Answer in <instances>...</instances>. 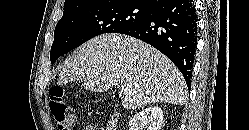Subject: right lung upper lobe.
<instances>
[{"mask_svg":"<svg viewBox=\"0 0 249 130\" xmlns=\"http://www.w3.org/2000/svg\"><path fill=\"white\" fill-rule=\"evenodd\" d=\"M108 0H65L64 12L79 9L88 5L105 2ZM139 3L148 4L151 8L155 7L162 0H134Z\"/></svg>","mask_w":249,"mask_h":130,"instance_id":"1","label":"right lung upper lobe"}]
</instances>
